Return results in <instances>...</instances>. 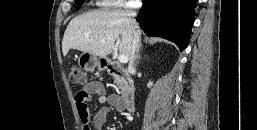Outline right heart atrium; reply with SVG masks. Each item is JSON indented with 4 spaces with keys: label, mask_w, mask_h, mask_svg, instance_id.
<instances>
[{
    "label": "right heart atrium",
    "mask_w": 257,
    "mask_h": 130,
    "mask_svg": "<svg viewBox=\"0 0 257 130\" xmlns=\"http://www.w3.org/2000/svg\"><path fill=\"white\" fill-rule=\"evenodd\" d=\"M131 0H99L98 4L104 7H122L132 4Z\"/></svg>",
    "instance_id": "obj_1"
}]
</instances>
